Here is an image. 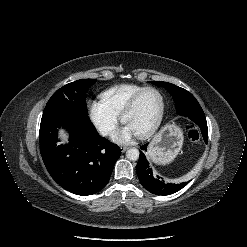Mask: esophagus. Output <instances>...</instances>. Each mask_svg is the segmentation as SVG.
<instances>
[{
    "label": "esophagus",
    "mask_w": 247,
    "mask_h": 247,
    "mask_svg": "<svg viewBox=\"0 0 247 247\" xmlns=\"http://www.w3.org/2000/svg\"><path fill=\"white\" fill-rule=\"evenodd\" d=\"M127 149H128L127 146H123V147H121V152L124 153Z\"/></svg>",
    "instance_id": "34e87169"
}]
</instances>
